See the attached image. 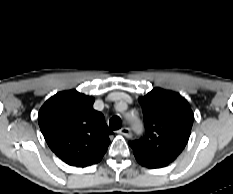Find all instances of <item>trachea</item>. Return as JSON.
I'll use <instances>...</instances> for the list:
<instances>
[{
	"instance_id": "obj_1",
	"label": "trachea",
	"mask_w": 233,
	"mask_h": 194,
	"mask_svg": "<svg viewBox=\"0 0 233 194\" xmlns=\"http://www.w3.org/2000/svg\"><path fill=\"white\" fill-rule=\"evenodd\" d=\"M109 127L111 130H118L121 128V119L118 116H114L109 121Z\"/></svg>"
}]
</instances>
